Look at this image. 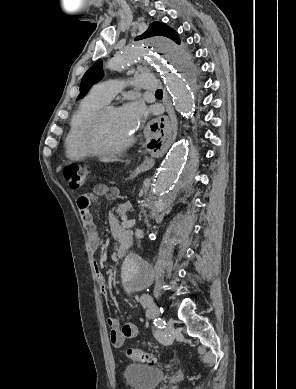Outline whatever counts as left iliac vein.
<instances>
[{
  "instance_id": "4c4485c4",
  "label": "left iliac vein",
  "mask_w": 296,
  "mask_h": 389,
  "mask_svg": "<svg viewBox=\"0 0 296 389\" xmlns=\"http://www.w3.org/2000/svg\"><path fill=\"white\" fill-rule=\"evenodd\" d=\"M174 331V326L172 321H168L164 330V334L167 337H170Z\"/></svg>"
}]
</instances>
